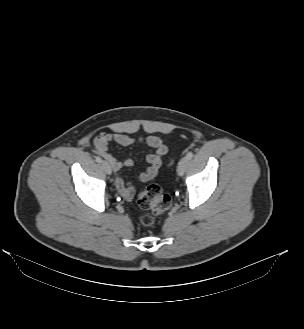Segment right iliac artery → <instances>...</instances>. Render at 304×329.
<instances>
[{
  "label": "right iliac artery",
  "instance_id": "obj_1",
  "mask_svg": "<svg viewBox=\"0 0 304 329\" xmlns=\"http://www.w3.org/2000/svg\"><path fill=\"white\" fill-rule=\"evenodd\" d=\"M95 160H96V162H98V163H101V162H102V159H101L99 156H96V157H95Z\"/></svg>",
  "mask_w": 304,
  "mask_h": 329
}]
</instances>
